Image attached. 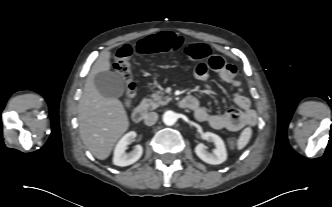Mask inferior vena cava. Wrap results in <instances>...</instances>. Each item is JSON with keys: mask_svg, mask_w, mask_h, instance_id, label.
Masks as SVG:
<instances>
[{"mask_svg": "<svg viewBox=\"0 0 332 207\" xmlns=\"http://www.w3.org/2000/svg\"><path fill=\"white\" fill-rule=\"evenodd\" d=\"M157 120H158V114L156 112H150L145 115L144 123L147 126H152L156 123Z\"/></svg>", "mask_w": 332, "mask_h": 207, "instance_id": "1", "label": "inferior vena cava"}]
</instances>
